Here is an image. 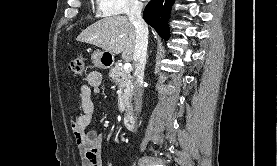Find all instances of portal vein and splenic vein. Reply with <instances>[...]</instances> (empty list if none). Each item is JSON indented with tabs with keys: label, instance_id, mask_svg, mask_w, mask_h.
<instances>
[{
	"label": "portal vein and splenic vein",
	"instance_id": "portal-vein-and-splenic-vein-1",
	"mask_svg": "<svg viewBox=\"0 0 277 166\" xmlns=\"http://www.w3.org/2000/svg\"><path fill=\"white\" fill-rule=\"evenodd\" d=\"M124 69L125 70H131V64L130 63H125Z\"/></svg>",
	"mask_w": 277,
	"mask_h": 166
}]
</instances>
